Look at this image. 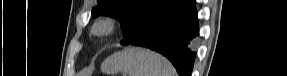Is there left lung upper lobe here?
I'll list each match as a JSON object with an SVG mask.
<instances>
[{"label":"left lung upper lobe","mask_w":287,"mask_h":76,"mask_svg":"<svg viewBox=\"0 0 287 76\" xmlns=\"http://www.w3.org/2000/svg\"><path fill=\"white\" fill-rule=\"evenodd\" d=\"M186 0H99L92 15L115 17L121 22L127 45L143 35L146 30L163 16L179 9Z\"/></svg>","instance_id":"obj_1"}]
</instances>
